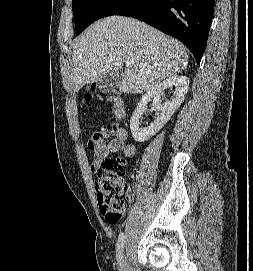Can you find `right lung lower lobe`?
Wrapping results in <instances>:
<instances>
[{"label": "right lung lower lobe", "instance_id": "right-lung-lower-lobe-1", "mask_svg": "<svg viewBox=\"0 0 253 271\" xmlns=\"http://www.w3.org/2000/svg\"><path fill=\"white\" fill-rule=\"evenodd\" d=\"M214 0H127L113 15L130 16L182 41L200 63Z\"/></svg>", "mask_w": 253, "mask_h": 271}]
</instances>
